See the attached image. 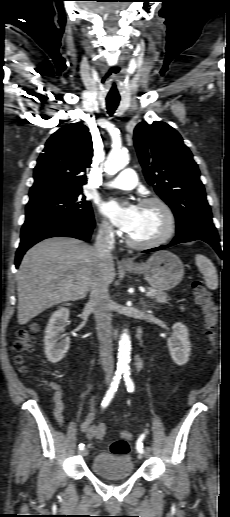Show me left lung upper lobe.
<instances>
[{"label":"left lung upper lobe","instance_id":"left-lung-upper-lobe-1","mask_svg":"<svg viewBox=\"0 0 230 517\" xmlns=\"http://www.w3.org/2000/svg\"><path fill=\"white\" fill-rule=\"evenodd\" d=\"M134 143L147 182L175 215L177 235L212 223L198 166L180 134L161 121L141 122Z\"/></svg>","mask_w":230,"mask_h":517}]
</instances>
